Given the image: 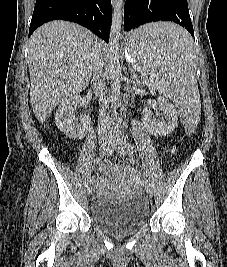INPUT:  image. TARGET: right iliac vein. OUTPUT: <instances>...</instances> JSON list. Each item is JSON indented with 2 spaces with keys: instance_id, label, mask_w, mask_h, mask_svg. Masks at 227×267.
Listing matches in <instances>:
<instances>
[{
  "instance_id": "obj_1",
  "label": "right iliac vein",
  "mask_w": 227,
  "mask_h": 267,
  "mask_svg": "<svg viewBox=\"0 0 227 267\" xmlns=\"http://www.w3.org/2000/svg\"><path fill=\"white\" fill-rule=\"evenodd\" d=\"M99 144H100L101 153H105L109 149L111 143L106 136H101ZM93 187H94V181L91 180L90 185H89L88 190H87L88 195H90L92 193Z\"/></svg>"
}]
</instances>
